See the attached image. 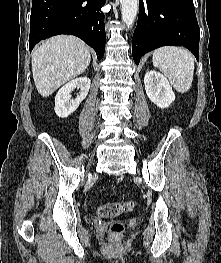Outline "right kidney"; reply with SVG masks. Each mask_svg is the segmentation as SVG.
<instances>
[{"instance_id":"1","label":"right kidney","mask_w":221,"mask_h":263,"mask_svg":"<svg viewBox=\"0 0 221 263\" xmlns=\"http://www.w3.org/2000/svg\"><path fill=\"white\" fill-rule=\"evenodd\" d=\"M91 81L87 77H80L65 84L56 94L55 113L60 118H66L72 114L79 104L86 98L90 89ZM75 88L80 92L76 99H71L70 93Z\"/></svg>"}]
</instances>
